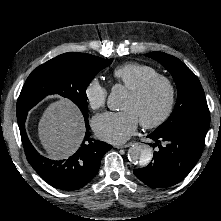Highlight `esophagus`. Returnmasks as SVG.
<instances>
[{
  "instance_id": "34e87169",
  "label": "esophagus",
  "mask_w": 221,
  "mask_h": 221,
  "mask_svg": "<svg viewBox=\"0 0 221 221\" xmlns=\"http://www.w3.org/2000/svg\"><path fill=\"white\" fill-rule=\"evenodd\" d=\"M131 145H132V143L117 144V145H115V147H116L117 149H122V148H128V147H130Z\"/></svg>"
}]
</instances>
